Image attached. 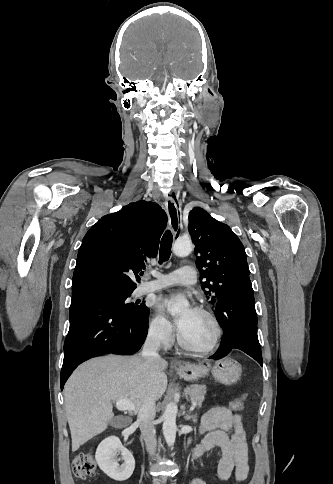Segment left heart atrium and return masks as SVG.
Instances as JSON below:
<instances>
[{
  "label": "left heart atrium",
  "mask_w": 333,
  "mask_h": 484,
  "mask_svg": "<svg viewBox=\"0 0 333 484\" xmlns=\"http://www.w3.org/2000/svg\"><path fill=\"white\" fill-rule=\"evenodd\" d=\"M173 302L172 298H166L160 303V308L163 310H167ZM192 311V309L186 310L184 313H182L179 317L176 318V325L178 330L182 327L187 315Z\"/></svg>",
  "instance_id": "1"
}]
</instances>
